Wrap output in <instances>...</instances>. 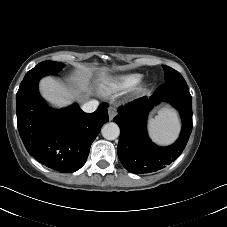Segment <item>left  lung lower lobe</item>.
I'll list each match as a JSON object with an SVG mask.
<instances>
[{
  "instance_id": "obj_1",
  "label": "left lung lower lobe",
  "mask_w": 227,
  "mask_h": 227,
  "mask_svg": "<svg viewBox=\"0 0 227 227\" xmlns=\"http://www.w3.org/2000/svg\"><path fill=\"white\" fill-rule=\"evenodd\" d=\"M162 101L169 102L181 115L182 130L177 141L168 147L155 145L148 137L149 111ZM121 130L118 157L131 173H151L171 164L184 150L192 131V97L186 83H164L155 93L118 108L113 119Z\"/></svg>"
}]
</instances>
